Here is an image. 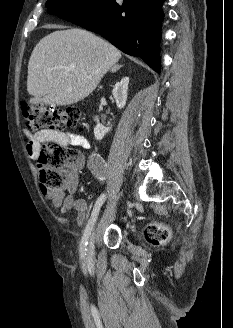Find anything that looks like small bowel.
Returning a JSON list of instances; mask_svg holds the SVG:
<instances>
[{
  "instance_id": "small-bowel-1",
  "label": "small bowel",
  "mask_w": 233,
  "mask_h": 328,
  "mask_svg": "<svg viewBox=\"0 0 233 328\" xmlns=\"http://www.w3.org/2000/svg\"><path fill=\"white\" fill-rule=\"evenodd\" d=\"M25 133L28 138L26 148L30 156H34L37 153L40 144L48 140L56 141L64 147L79 146L84 149L90 147V142L86 137L75 133L51 130H40L36 133H31L29 129H26ZM76 189L77 179L74 178L63 188L56 190H45L41 188V192L53 206L59 208L60 212L65 213L70 209H74L77 212L78 221L82 222L85 217L86 203L84 200L77 199L74 196Z\"/></svg>"
}]
</instances>
